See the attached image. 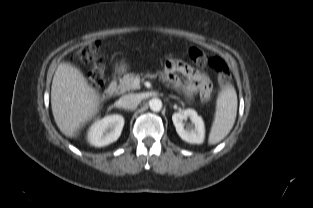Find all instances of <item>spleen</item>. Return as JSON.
<instances>
[{
    "instance_id": "obj_1",
    "label": "spleen",
    "mask_w": 313,
    "mask_h": 208,
    "mask_svg": "<svg viewBox=\"0 0 313 208\" xmlns=\"http://www.w3.org/2000/svg\"><path fill=\"white\" fill-rule=\"evenodd\" d=\"M216 103L215 120L208 138L209 144L220 142L233 128L237 114V94L234 87L230 86L223 90Z\"/></svg>"
}]
</instances>
